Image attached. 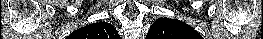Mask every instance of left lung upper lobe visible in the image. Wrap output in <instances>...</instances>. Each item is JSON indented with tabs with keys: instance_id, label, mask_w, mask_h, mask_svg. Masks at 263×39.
<instances>
[{
	"instance_id": "left-lung-upper-lobe-1",
	"label": "left lung upper lobe",
	"mask_w": 263,
	"mask_h": 39,
	"mask_svg": "<svg viewBox=\"0 0 263 39\" xmlns=\"http://www.w3.org/2000/svg\"><path fill=\"white\" fill-rule=\"evenodd\" d=\"M146 39H203L191 26L169 18H159L150 27Z\"/></svg>"
}]
</instances>
